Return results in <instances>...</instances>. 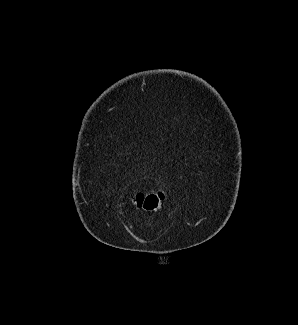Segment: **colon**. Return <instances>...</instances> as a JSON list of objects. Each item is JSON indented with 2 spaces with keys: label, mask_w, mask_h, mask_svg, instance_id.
<instances>
[{
  "label": "colon",
  "mask_w": 298,
  "mask_h": 325,
  "mask_svg": "<svg viewBox=\"0 0 298 325\" xmlns=\"http://www.w3.org/2000/svg\"><path fill=\"white\" fill-rule=\"evenodd\" d=\"M164 201L162 191L138 192L133 197V203L136 207L154 212L157 211Z\"/></svg>",
  "instance_id": "colon-1"
}]
</instances>
